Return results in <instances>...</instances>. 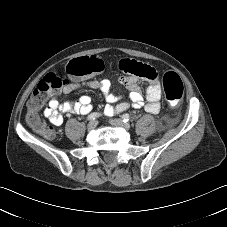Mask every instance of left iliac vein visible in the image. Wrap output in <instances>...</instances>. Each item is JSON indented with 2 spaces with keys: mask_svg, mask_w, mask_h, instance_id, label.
<instances>
[{
  "mask_svg": "<svg viewBox=\"0 0 227 227\" xmlns=\"http://www.w3.org/2000/svg\"><path fill=\"white\" fill-rule=\"evenodd\" d=\"M109 123L112 126H115V127H118V128H122V129H125V130H129L130 129V124L126 123V122H123L121 119H111L109 121Z\"/></svg>",
  "mask_w": 227,
  "mask_h": 227,
  "instance_id": "left-iliac-vein-1",
  "label": "left iliac vein"
}]
</instances>
